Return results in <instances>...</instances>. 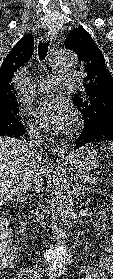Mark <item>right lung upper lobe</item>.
<instances>
[{"instance_id":"cb5924a9","label":"right lung upper lobe","mask_w":113,"mask_h":279,"mask_svg":"<svg viewBox=\"0 0 113 279\" xmlns=\"http://www.w3.org/2000/svg\"><path fill=\"white\" fill-rule=\"evenodd\" d=\"M34 37L25 35L11 49L0 67V108L17 102L12 79L14 73L29 61L33 54Z\"/></svg>"}]
</instances>
